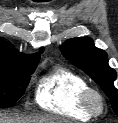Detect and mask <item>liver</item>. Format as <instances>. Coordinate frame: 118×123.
Segmentation results:
<instances>
[{"mask_svg":"<svg viewBox=\"0 0 118 123\" xmlns=\"http://www.w3.org/2000/svg\"><path fill=\"white\" fill-rule=\"evenodd\" d=\"M0 123H69V121L48 114L24 116L18 113L0 112Z\"/></svg>","mask_w":118,"mask_h":123,"instance_id":"6515ba94","label":"liver"}]
</instances>
